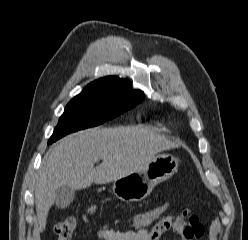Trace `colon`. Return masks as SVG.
Segmentation results:
<instances>
[{
	"mask_svg": "<svg viewBox=\"0 0 248 240\" xmlns=\"http://www.w3.org/2000/svg\"><path fill=\"white\" fill-rule=\"evenodd\" d=\"M170 208V203L165 202L151 209L135 214L127 219L130 231H136L149 227L165 216ZM79 226V219L76 216H67L55 226L56 240H72L73 234Z\"/></svg>",
	"mask_w": 248,
	"mask_h": 240,
	"instance_id": "1",
	"label": "colon"
}]
</instances>
